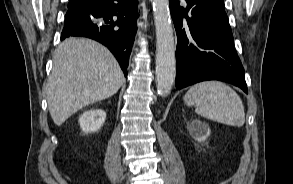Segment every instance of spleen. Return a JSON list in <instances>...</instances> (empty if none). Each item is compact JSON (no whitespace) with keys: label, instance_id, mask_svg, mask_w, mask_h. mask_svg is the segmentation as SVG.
<instances>
[{"label":"spleen","instance_id":"spleen-1","mask_svg":"<svg viewBox=\"0 0 293 184\" xmlns=\"http://www.w3.org/2000/svg\"><path fill=\"white\" fill-rule=\"evenodd\" d=\"M183 100L187 106H195V112L206 119L237 127L245 123L240 96L221 81L197 83L188 90Z\"/></svg>","mask_w":293,"mask_h":184}]
</instances>
